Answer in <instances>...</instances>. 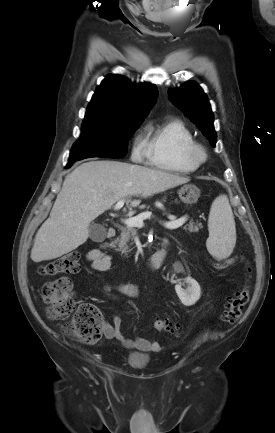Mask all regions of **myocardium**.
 <instances>
[{
  "instance_id": "f54148a6",
  "label": "myocardium",
  "mask_w": 275,
  "mask_h": 433,
  "mask_svg": "<svg viewBox=\"0 0 275 433\" xmlns=\"http://www.w3.org/2000/svg\"><path fill=\"white\" fill-rule=\"evenodd\" d=\"M187 157L189 160L197 165L204 163L207 160V151L201 144L195 143L187 150Z\"/></svg>"
}]
</instances>
